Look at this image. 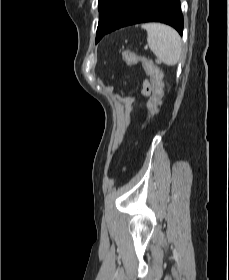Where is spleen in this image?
I'll return each instance as SVG.
<instances>
[{"instance_id":"1","label":"spleen","mask_w":229,"mask_h":280,"mask_svg":"<svg viewBox=\"0 0 229 280\" xmlns=\"http://www.w3.org/2000/svg\"><path fill=\"white\" fill-rule=\"evenodd\" d=\"M142 28L147 31V43L157 58L168 66L178 63L182 43L179 34L170 26L160 23H146Z\"/></svg>"}]
</instances>
